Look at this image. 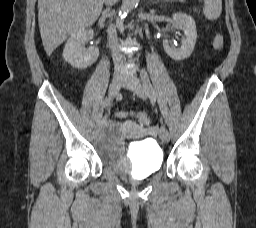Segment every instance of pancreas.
Returning <instances> with one entry per match:
<instances>
[{
    "label": "pancreas",
    "mask_w": 256,
    "mask_h": 228,
    "mask_svg": "<svg viewBox=\"0 0 256 228\" xmlns=\"http://www.w3.org/2000/svg\"><path fill=\"white\" fill-rule=\"evenodd\" d=\"M166 2H176V1H179V2H185V0H164Z\"/></svg>",
    "instance_id": "obj_1"
}]
</instances>
